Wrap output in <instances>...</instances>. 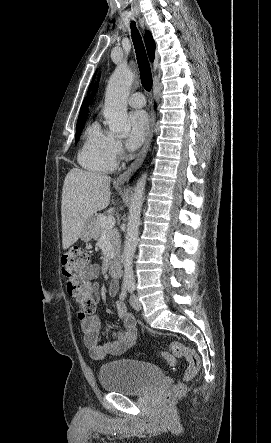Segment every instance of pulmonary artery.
Returning a JSON list of instances; mask_svg holds the SVG:
<instances>
[{
    "label": "pulmonary artery",
    "instance_id": "e3ab8cb5",
    "mask_svg": "<svg viewBox=\"0 0 271 443\" xmlns=\"http://www.w3.org/2000/svg\"><path fill=\"white\" fill-rule=\"evenodd\" d=\"M127 102L130 106L134 108H141L145 105L146 100L142 93L135 92L128 97Z\"/></svg>",
    "mask_w": 271,
    "mask_h": 443
}]
</instances>
